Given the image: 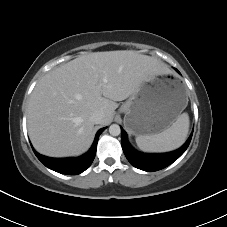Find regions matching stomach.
<instances>
[{"label": "stomach", "instance_id": "1", "mask_svg": "<svg viewBox=\"0 0 227 227\" xmlns=\"http://www.w3.org/2000/svg\"><path fill=\"white\" fill-rule=\"evenodd\" d=\"M187 96L176 79L148 78L121 106L124 125L135 136L155 135L169 128L187 106Z\"/></svg>", "mask_w": 227, "mask_h": 227}]
</instances>
